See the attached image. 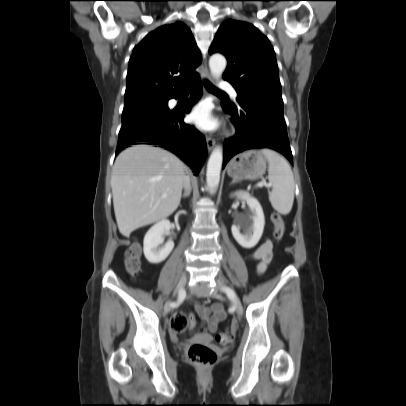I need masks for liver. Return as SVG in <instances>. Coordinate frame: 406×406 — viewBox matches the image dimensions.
Returning a JSON list of instances; mask_svg holds the SVG:
<instances>
[{
	"label": "liver",
	"mask_w": 406,
	"mask_h": 406,
	"mask_svg": "<svg viewBox=\"0 0 406 406\" xmlns=\"http://www.w3.org/2000/svg\"><path fill=\"white\" fill-rule=\"evenodd\" d=\"M185 170L179 158L159 147L135 145L118 155L111 188L115 217L123 236L129 237L140 227L164 220L177 209Z\"/></svg>",
	"instance_id": "6515ba94"
}]
</instances>
